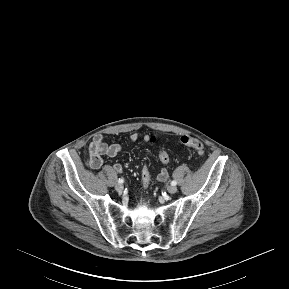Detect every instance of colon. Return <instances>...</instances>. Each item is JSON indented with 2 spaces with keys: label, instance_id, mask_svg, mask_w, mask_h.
Returning a JSON list of instances; mask_svg holds the SVG:
<instances>
[{
  "label": "colon",
  "instance_id": "1",
  "mask_svg": "<svg viewBox=\"0 0 289 289\" xmlns=\"http://www.w3.org/2000/svg\"><path fill=\"white\" fill-rule=\"evenodd\" d=\"M154 138H151V141H153ZM181 142L190 148H193L198 154L202 155L204 153V146L202 142L192 136L186 135L181 137ZM158 158L162 163H168L169 162V155L166 150L162 149L160 150L158 154ZM89 165L92 166V162H89ZM142 183L145 188L149 186L150 183V170L149 166L147 164L144 165L142 169Z\"/></svg>",
  "mask_w": 289,
  "mask_h": 289
}]
</instances>
